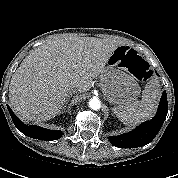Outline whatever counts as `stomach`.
<instances>
[{
	"label": "stomach",
	"mask_w": 178,
	"mask_h": 178,
	"mask_svg": "<svg viewBox=\"0 0 178 178\" xmlns=\"http://www.w3.org/2000/svg\"><path fill=\"white\" fill-rule=\"evenodd\" d=\"M119 48L110 56L107 66L100 75V87L109 103L121 106L139 97L140 86L134 75L129 72L125 57L128 50L121 54Z\"/></svg>",
	"instance_id": "stomach-1"
}]
</instances>
